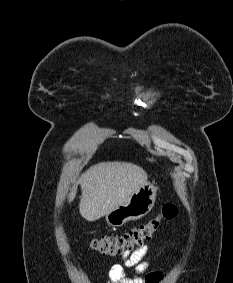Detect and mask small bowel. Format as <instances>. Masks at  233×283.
I'll use <instances>...</instances> for the list:
<instances>
[{
	"mask_svg": "<svg viewBox=\"0 0 233 283\" xmlns=\"http://www.w3.org/2000/svg\"><path fill=\"white\" fill-rule=\"evenodd\" d=\"M147 251V245H141L131 253L126 252L124 254V264L111 266L107 283H160L164 279V274L161 272H152L144 277L141 276L147 272L149 267V261L145 260ZM124 266L134 267L138 275L127 278L124 274Z\"/></svg>",
	"mask_w": 233,
	"mask_h": 283,
	"instance_id": "obj_1",
	"label": "small bowel"
}]
</instances>
